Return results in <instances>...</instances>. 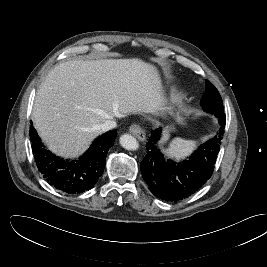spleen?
Instances as JSON below:
<instances>
[{"label":"spleen","mask_w":267,"mask_h":267,"mask_svg":"<svg viewBox=\"0 0 267 267\" xmlns=\"http://www.w3.org/2000/svg\"><path fill=\"white\" fill-rule=\"evenodd\" d=\"M195 147L196 142L176 138L171 142L168 153L176 159L185 158L192 153Z\"/></svg>","instance_id":"spleen-1"}]
</instances>
